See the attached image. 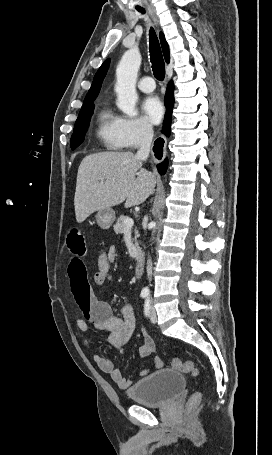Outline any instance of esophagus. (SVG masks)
<instances>
[{
  "mask_svg": "<svg viewBox=\"0 0 272 455\" xmlns=\"http://www.w3.org/2000/svg\"><path fill=\"white\" fill-rule=\"evenodd\" d=\"M149 12L151 13V8L148 7ZM163 146H164V140L162 138H159L155 141L153 151L155 153L154 155V162H158L162 155H163Z\"/></svg>",
  "mask_w": 272,
  "mask_h": 455,
  "instance_id": "esophagus-1",
  "label": "esophagus"
}]
</instances>
